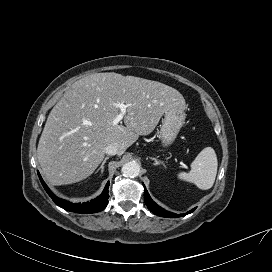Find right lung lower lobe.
Masks as SVG:
<instances>
[{"label":"right lung lower lobe","instance_id":"1","mask_svg":"<svg viewBox=\"0 0 272 272\" xmlns=\"http://www.w3.org/2000/svg\"><path fill=\"white\" fill-rule=\"evenodd\" d=\"M38 176L40 178V181L48 193V195L53 199V201L63 209L71 212H76V213H96L102 211L108 204V187H109V182L106 184L103 192L101 193L100 196H98L96 199L91 200L90 202H84V203H71L67 200H62L58 197H55L54 194L51 192V190L48 188V186L45 184L43 181L42 177L40 176L38 172Z\"/></svg>","mask_w":272,"mask_h":272}]
</instances>
